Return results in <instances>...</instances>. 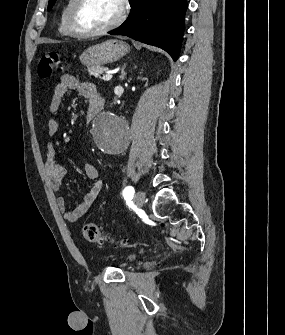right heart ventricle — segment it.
<instances>
[{
	"label": "right heart ventricle",
	"mask_w": 285,
	"mask_h": 335,
	"mask_svg": "<svg viewBox=\"0 0 285 335\" xmlns=\"http://www.w3.org/2000/svg\"><path fill=\"white\" fill-rule=\"evenodd\" d=\"M75 1H66L65 7L62 14L61 25L59 28L60 33L67 38H77V36L71 31L70 23H69V16L70 11ZM86 60H98L97 58H88Z\"/></svg>",
	"instance_id": "obj_1"
}]
</instances>
